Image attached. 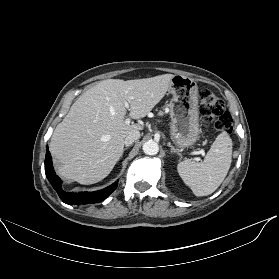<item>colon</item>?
Listing matches in <instances>:
<instances>
[{
    "label": "colon",
    "instance_id": "1",
    "mask_svg": "<svg viewBox=\"0 0 279 279\" xmlns=\"http://www.w3.org/2000/svg\"><path fill=\"white\" fill-rule=\"evenodd\" d=\"M200 113L206 122H213L216 129L229 132L232 129L233 120L224 104L212 91L203 89L199 92Z\"/></svg>",
    "mask_w": 279,
    "mask_h": 279
}]
</instances>
